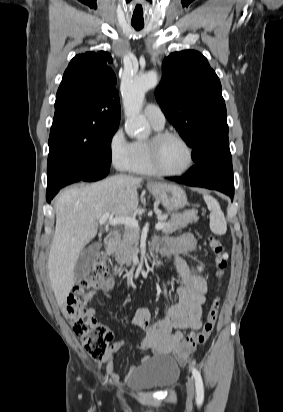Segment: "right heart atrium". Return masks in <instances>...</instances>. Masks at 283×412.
I'll use <instances>...</instances> for the list:
<instances>
[{"instance_id":"1","label":"right heart atrium","mask_w":283,"mask_h":412,"mask_svg":"<svg viewBox=\"0 0 283 412\" xmlns=\"http://www.w3.org/2000/svg\"><path fill=\"white\" fill-rule=\"evenodd\" d=\"M108 150L113 166L118 170H127L131 158V143L122 128L116 129L111 134Z\"/></svg>"}]
</instances>
